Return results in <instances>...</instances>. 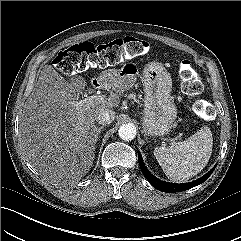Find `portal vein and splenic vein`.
I'll list each match as a JSON object with an SVG mask.
<instances>
[{"mask_svg":"<svg viewBox=\"0 0 241 241\" xmlns=\"http://www.w3.org/2000/svg\"><path fill=\"white\" fill-rule=\"evenodd\" d=\"M105 101H106V99H105L104 95H92V96H89V97L85 98L84 100L80 101L79 103H77V105L81 104L82 102L104 103Z\"/></svg>","mask_w":241,"mask_h":241,"instance_id":"1","label":"portal vein and splenic vein"}]
</instances>
